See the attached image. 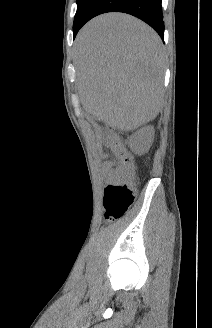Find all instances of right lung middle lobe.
Listing matches in <instances>:
<instances>
[{"mask_svg":"<svg viewBox=\"0 0 212 328\" xmlns=\"http://www.w3.org/2000/svg\"><path fill=\"white\" fill-rule=\"evenodd\" d=\"M95 0H77V12L74 18V29H77L84 21L91 5Z\"/></svg>","mask_w":212,"mask_h":328,"instance_id":"right-lung-middle-lobe-1","label":"right lung middle lobe"}]
</instances>
